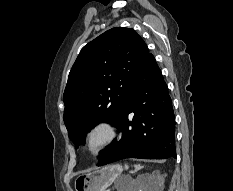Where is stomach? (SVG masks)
Returning <instances> with one entry per match:
<instances>
[{"label": "stomach", "instance_id": "stomach-1", "mask_svg": "<svg viewBox=\"0 0 233 191\" xmlns=\"http://www.w3.org/2000/svg\"><path fill=\"white\" fill-rule=\"evenodd\" d=\"M122 167L107 165L80 175L75 180V191H107L106 189L120 176Z\"/></svg>", "mask_w": 233, "mask_h": 191}]
</instances>
